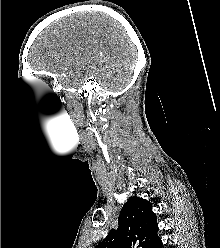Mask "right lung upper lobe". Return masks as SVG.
Masks as SVG:
<instances>
[{
  "mask_svg": "<svg viewBox=\"0 0 220 248\" xmlns=\"http://www.w3.org/2000/svg\"><path fill=\"white\" fill-rule=\"evenodd\" d=\"M118 224V229H112L96 248H153L160 241L156 215L145 199L130 197L121 209Z\"/></svg>",
  "mask_w": 220,
  "mask_h": 248,
  "instance_id": "1",
  "label": "right lung upper lobe"
}]
</instances>
